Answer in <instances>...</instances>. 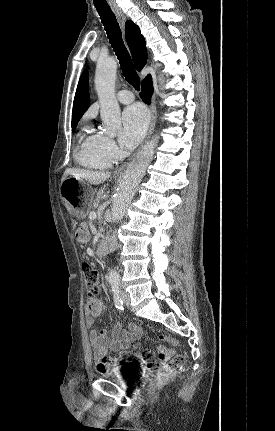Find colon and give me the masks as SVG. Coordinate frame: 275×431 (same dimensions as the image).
Returning a JSON list of instances; mask_svg holds the SVG:
<instances>
[{
	"label": "colon",
	"mask_w": 275,
	"mask_h": 431,
	"mask_svg": "<svg viewBox=\"0 0 275 431\" xmlns=\"http://www.w3.org/2000/svg\"><path fill=\"white\" fill-rule=\"evenodd\" d=\"M82 270L89 294L96 295L100 288V275L98 269L94 264L84 262L82 264ZM159 338L162 340H168L173 344L178 343L175 339L165 335H160ZM128 348L146 363L149 370L156 372L154 382L152 383L153 387L161 386L173 372L183 369L187 362L186 357L183 354H178L167 347H161L159 348L158 359L160 362L165 363V365L160 367V363L155 360L152 350L144 348L138 341L130 339L128 342ZM115 361V355H99L97 356V368L99 371H105L114 364Z\"/></svg>",
	"instance_id": "colon-1"
}]
</instances>
